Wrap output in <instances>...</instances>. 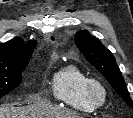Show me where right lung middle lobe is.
<instances>
[{
	"mask_svg": "<svg viewBox=\"0 0 133 118\" xmlns=\"http://www.w3.org/2000/svg\"><path fill=\"white\" fill-rule=\"evenodd\" d=\"M27 63L14 67H0V98L20 85L22 80V71Z\"/></svg>",
	"mask_w": 133,
	"mask_h": 118,
	"instance_id": "dd1d6c3e",
	"label": "right lung middle lobe"
}]
</instances>
